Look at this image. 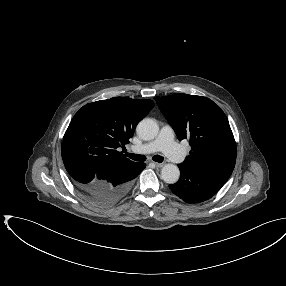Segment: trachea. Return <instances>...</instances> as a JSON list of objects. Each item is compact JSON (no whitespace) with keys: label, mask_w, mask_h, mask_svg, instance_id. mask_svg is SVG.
Instances as JSON below:
<instances>
[{"label":"trachea","mask_w":286,"mask_h":286,"mask_svg":"<svg viewBox=\"0 0 286 286\" xmlns=\"http://www.w3.org/2000/svg\"><path fill=\"white\" fill-rule=\"evenodd\" d=\"M125 152V155L129 158H131L132 160L134 161H145L146 160V157L144 155H139V154H131V153H128L127 151H124ZM153 160L156 161V162H159L161 163L164 158L160 155H155L153 156Z\"/></svg>","instance_id":"obj_1"}]
</instances>
